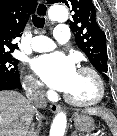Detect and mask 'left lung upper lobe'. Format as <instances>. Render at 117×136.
Instances as JSON below:
<instances>
[{"instance_id": "left-lung-upper-lobe-1", "label": "left lung upper lobe", "mask_w": 117, "mask_h": 136, "mask_svg": "<svg viewBox=\"0 0 117 136\" xmlns=\"http://www.w3.org/2000/svg\"><path fill=\"white\" fill-rule=\"evenodd\" d=\"M48 3H65L74 12L70 21V28L76 34L77 44L87 55L97 71L109 80L106 72L107 49L105 33L98 26L95 7L91 0H47Z\"/></svg>"}]
</instances>
